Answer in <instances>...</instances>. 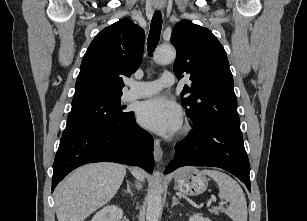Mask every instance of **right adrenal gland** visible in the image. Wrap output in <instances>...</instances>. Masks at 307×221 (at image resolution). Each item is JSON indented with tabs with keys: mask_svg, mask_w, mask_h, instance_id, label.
I'll use <instances>...</instances> for the list:
<instances>
[{
	"mask_svg": "<svg viewBox=\"0 0 307 221\" xmlns=\"http://www.w3.org/2000/svg\"><path fill=\"white\" fill-rule=\"evenodd\" d=\"M126 184H127V189L125 191L127 193H129L131 196H133V193L131 192V185H130V183L127 181Z\"/></svg>",
	"mask_w": 307,
	"mask_h": 221,
	"instance_id": "1",
	"label": "right adrenal gland"
}]
</instances>
